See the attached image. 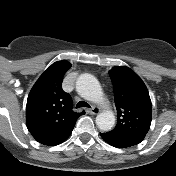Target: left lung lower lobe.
<instances>
[{
  "label": "left lung lower lobe",
  "instance_id": "obj_1",
  "mask_svg": "<svg viewBox=\"0 0 176 176\" xmlns=\"http://www.w3.org/2000/svg\"><path fill=\"white\" fill-rule=\"evenodd\" d=\"M100 135L106 142H108L110 145L117 147V148H126V147H130L133 145V144H130V143L124 141L123 139L111 134L110 132L100 134Z\"/></svg>",
  "mask_w": 176,
  "mask_h": 176
}]
</instances>
